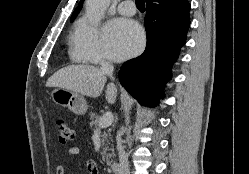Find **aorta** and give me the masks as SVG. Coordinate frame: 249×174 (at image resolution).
<instances>
[{
  "label": "aorta",
  "instance_id": "obj_1",
  "mask_svg": "<svg viewBox=\"0 0 249 174\" xmlns=\"http://www.w3.org/2000/svg\"><path fill=\"white\" fill-rule=\"evenodd\" d=\"M111 0H86V16L92 25H98Z\"/></svg>",
  "mask_w": 249,
  "mask_h": 174
}]
</instances>
